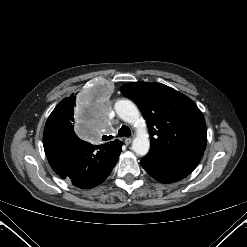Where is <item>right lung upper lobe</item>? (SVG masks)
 <instances>
[{
	"mask_svg": "<svg viewBox=\"0 0 247 247\" xmlns=\"http://www.w3.org/2000/svg\"><path fill=\"white\" fill-rule=\"evenodd\" d=\"M75 98H76V95L72 94L70 97L63 99V100L56 106V108H59V107H61V106H64V105H66V104H68V103H73V102L75 101ZM119 142H121V141L115 140V141L110 142V143L112 144V143H119ZM106 144H108V143H106Z\"/></svg>",
	"mask_w": 247,
	"mask_h": 247,
	"instance_id": "right-lung-upper-lobe-1",
	"label": "right lung upper lobe"
}]
</instances>
